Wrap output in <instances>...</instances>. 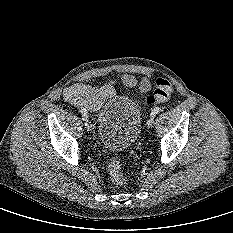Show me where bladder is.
<instances>
[{"mask_svg": "<svg viewBox=\"0 0 233 233\" xmlns=\"http://www.w3.org/2000/svg\"><path fill=\"white\" fill-rule=\"evenodd\" d=\"M98 132L103 144L114 151L126 150L137 139L142 113L138 104L127 96L108 99L98 113Z\"/></svg>", "mask_w": 233, "mask_h": 233, "instance_id": "bladder-1", "label": "bladder"}]
</instances>
